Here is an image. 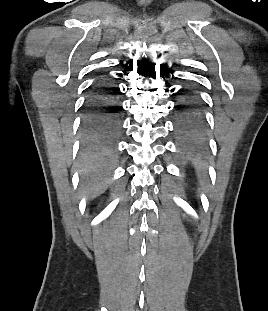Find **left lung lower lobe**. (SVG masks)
Wrapping results in <instances>:
<instances>
[{"mask_svg":"<svg viewBox=\"0 0 268 311\" xmlns=\"http://www.w3.org/2000/svg\"><path fill=\"white\" fill-rule=\"evenodd\" d=\"M176 118L180 132H174V139L179 141L202 139L205 118L197 94L192 91L182 94L180 105L176 107Z\"/></svg>","mask_w":268,"mask_h":311,"instance_id":"1","label":"left lung lower lobe"}]
</instances>
